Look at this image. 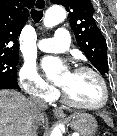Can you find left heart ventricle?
Here are the masks:
<instances>
[{"label": "left heart ventricle", "mask_w": 117, "mask_h": 136, "mask_svg": "<svg viewBox=\"0 0 117 136\" xmlns=\"http://www.w3.org/2000/svg\"><path fill=\"white\" fill-rule=\"evenodd\" d=\"M64 90L74 101L83 104H97L102 99L100 83L89 72H72Z\"/></svg>", "instance_id": "b2bd125f"}]
</instances>
